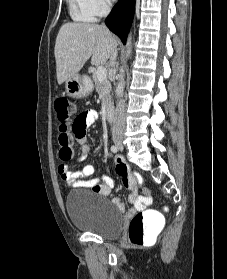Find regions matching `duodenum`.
Segmentation results:
<instances>
[{
    "label": "duodenum",
    "mask_w": 227,
    "mask_h": 279,
    "mask_svg": "<svg viewBox=\"0 0 227 279\" xmlns=\"http://www.w3.org/2000/svg\"><path fill=\"white\" fill-rule=\"evenodd\" d=\"M105 118L108 121H112L113 120V109L111 107H106V109H105Z\"/></svg>",
    "instance_id": "410a0bca"
}]
</instances>
